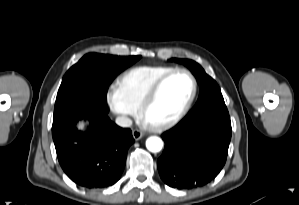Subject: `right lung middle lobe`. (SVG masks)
<instances>
[{"label": "right lung middle lobe", "instance_id": "dd1d6c3e", "mask_svg": "<svg viewBox=\"0 0 299 205\" xmlns=\"http://www.w3.org/2000/svg\"><path fill=\"white\" fill-rule=\"evenodd\" d=\"M140 58L141 56L86 54L64 75L57 94L53 119L80 103L106 105L109 84L116 75Z\"/></svg>", "mask_w": 299, "mask_h": 205}]
</instances>
